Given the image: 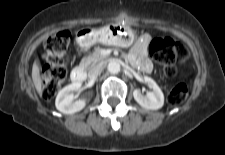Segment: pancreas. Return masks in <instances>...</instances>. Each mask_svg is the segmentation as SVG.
Returning <instances> with one entry per match:
<instances>
[{
    "label": "pancreas",
    "instance_id": "obj_1",
    "mask_svg": "<svg viewBox=\"0 0 225 155\" xmlns=\"http://www.w3.org/2000/svg\"><path fill=\"white\" fill-rule=\"evenodd\" d=\"M105 59L106 56L101 54V48L96 47L92 55L84 57L81 60L80 66L83 68H88L89 66L95 65L96 63L104 61Z\"/></svg>",
    "mask_w": 225,
    "mask_h": 155
}]
</instances>
